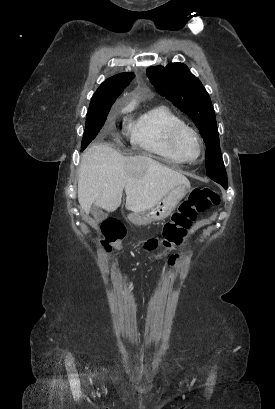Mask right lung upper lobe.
I'll return each instance as SVG.
<instances>
[{
	"mask_svg": "<svg viewBox=\"0 0 275 409\" xmlns=\"http://www.w3.org/2000/svg\"><path fill=\"white\" fill-rule=\"evenodd\" d=\"M133 77L132 73H120L108 78L93 95L89 109L96 110L111 107Z\"/></svg>",
	"mask_w": 275,
	"mask_h": 409,
	"instance_id": "1",
	"label": "right lung upper lobe"
}]
</instances>
